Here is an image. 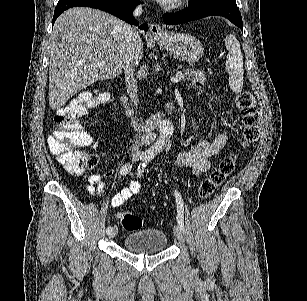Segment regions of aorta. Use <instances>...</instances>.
Instances as JSON below:
<instances>
[{
	"instance_id": "aorta-1",
	"label": "aorta",
	"mask_w": 307,
	"mask_h": 301,
	"mask_svg": "<svg viewBox=\"0 0 307 301\" xmlns=\"http://www.w3.org/2000/svg\"><path fill=\"white\" fill-rule=\"evenodd\" d=\"M159 138L157 142H154L151 146V151L157 153V151H161L165 142L169 140L170 136H172L174 132V126L170 120H160L159 124Z\"/></svg>"
}]
</instances>
